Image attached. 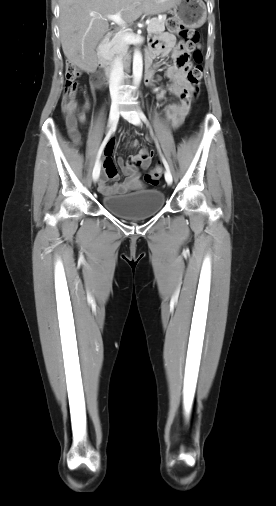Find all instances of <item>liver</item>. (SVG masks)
Masks as SVG:
<instances>
[{"label": "liver", "instance_id": "1", "mask_svg": "<svg viewBox=\"0 0 276 506\" xmlns=\"http://www.w3.org/2000/svg\"><path fill=\"white\" fill-rule=\"evenodd\" d=\"M178 1L59 0L60 39L64 55L82 70L93 72L97 67L95 48L109 30L107 15L120 13L124 21L133 22L142 14L166 12Z\"/></svg>", "mask_w": 276, "mask_h": 506}]
</instances>
